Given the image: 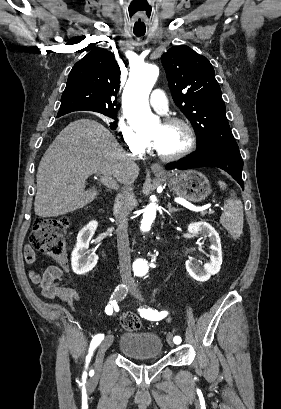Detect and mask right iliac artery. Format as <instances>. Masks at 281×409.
<instances>
[{
	"label": "right iliac artery",
	"mask_w": 281,
	"mask_h": 409,
	"mask_svg": "<svg viewBox=\"0 0 281 409\" xmlns=\"http://www.w3.org/2000/svg\"><path fill=\"white\" fill-rule=\"evenodd\" d=\"M127 295V287H125V285L121 284L118 285L112 295V298H114L113 300L110 301V303L106 306L105 308V312L108 315H111L113 313V307L116 306L117 304V300H123ZM104 339V335L103 334H98L96 335L90 345V350H89V354L86 358V367L90 361V358L92 356V353L94 351V349L100 344V342Z\"/></svg>",
	"instance_id": "1"
}]
</instances>
